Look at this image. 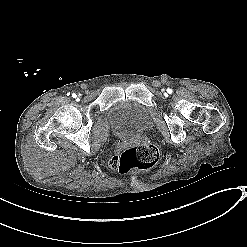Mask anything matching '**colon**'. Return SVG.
I'll list each match as a JSON object with an SVG mask.
<instances>
[{"instance_id":"1","label":"colon","mask_w":247,"mask_h":247,"mask_svg":"<svg viewBox=\"0 0 247 247\" xmlns=\"http://www.w3.org/2000/svg\"><path fill=\"white\" fill-rule=\"evenodd\" d=\"M121 166L118 171L127 172L132 169L147 170L155 166L160 159L159 149L155 144L142 142L121 155Z\"/></svg>"}]
</instances>
